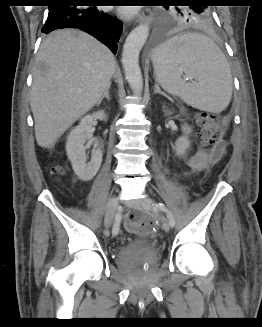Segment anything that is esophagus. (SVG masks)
<instances>
[{
    "label": "esophagus",
    "instance_id": "obj_1",
    "mask_svg": "<svg viewBox=\"0 0 262 327\" xmlns=\"http://www.w3.org/2000/svg\"><path fill=\"white\" fill-rule=\"evenodd\" d=\"M136 21L140 23L152 24L153 23L152 11L149 8L141 10V12L137 16Z\"/></svg>",
    "mask_w": 262,
    "mask_h": 327
}]
</instances>
